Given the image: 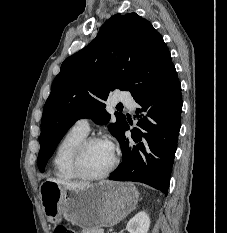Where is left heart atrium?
Wrapping results in <instances>:
<instances>
[{"mask_svg":"<svg viewBox=\"0 0 227 233\" xmlns=\"http://www.w3.org/2000/svg\"><path fill=\"white\" fill-rule=\"evenodd\" d=\"M111 148H113V145H112V143L110 142V141H107L106 142Z\"/></svg>","mask_w":227,"mask_h":233,"instance_id":"1","label":"left heart atrium"}]
</instances>
